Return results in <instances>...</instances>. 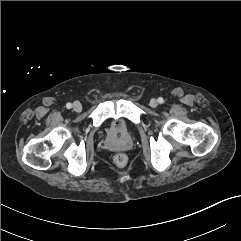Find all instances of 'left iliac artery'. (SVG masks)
<instances>
[{"label":"left iliac artery","instance_id":"44dca946","mask_svg":"<svg viewBox=\"0 0 241 241\" xmlns=\"http://www.w3.org/2000/svg\"><path fill=\"white\" fill-rule=\"evenodd\" d=\"M158 102H159L160 104H162V103H164V99H163L162 97H159V98H158Z\"/></svg>","mask_w":241,"mask_h":241}]
</instances>
